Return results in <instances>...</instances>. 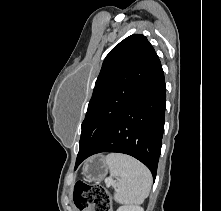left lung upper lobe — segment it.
Here are the masks:
<instances>
[{"mask_svg": "<svg viewBox=\"0 0 221 211\" xmlns=\"http://www.w3.org/2000/svg\"><path fill=\"white\" fill-rule=\"evenodd\" d=\"M158 60L143 35H131L106 56L82 122L77 161L107 133L127 104L142 87Z\"/></svg>", "mask_w": 221, "mask_h": 211, "instance_id": "left-lung-upper-lobe-1", "label": "left lung upper lobe"}]
</instances>
